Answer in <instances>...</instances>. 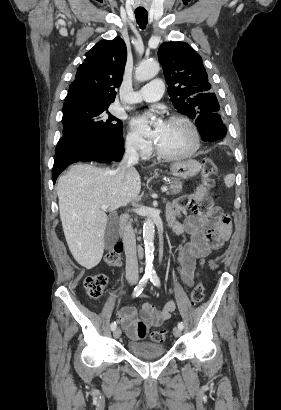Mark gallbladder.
<instances>
[{"instance_id":"1","label":"gallbladder","mask_w":281,"mask_h":410,"mask_svg":"<svg viewBox=\"0 0 281 410\" xmlns=\"http://www.w3.org/2000/svg\"><path fill=\"white\" fill-rule=\"evenodd\" d=\"M118 238L116 218L110 216L106 225L104 234V246L106 249L111 248Z\"/></svg>"}]
</instances>
